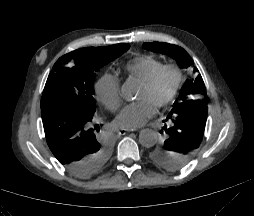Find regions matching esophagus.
Listing matches in <instances>:
<instances>
[{"mask_svg": "<svg viewBox=\"0 0 254 216\" xmlns=\"http://www.w3.org/2000/svg\"><path fill=\"white\" fill-rule=\"evenodd\" d=\"M131 131H135V129H131V130L122 129V130L119 131V134L120 135H125L127 132H131Z\"/></svg>", "mask_w": 254, "mask_h": 216, "instance_id": "1", "label": "esophagus"}]
</instances>
